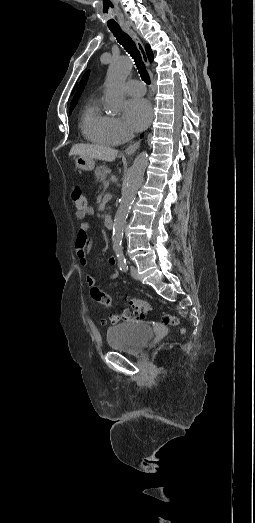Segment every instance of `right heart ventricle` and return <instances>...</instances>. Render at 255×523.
<instances>
[{"instance_id": "right-heart-ventricle-1", "label": "right heart ventricle", "mask_w": 255, "mask_h": 523, "mask_svg": "<svg viewBox=\"0 0 255 523\" xmlns=\"http://www.w3.org/2000/svg\"><path fill=\"white\" fill-rule=\"evenodd\" d=\"M81 129L84 138L96 145H115L120 139L114 127L113 117L104 113L97 100L89 102L85 107Z\"/></svg>"}]
</instances>
